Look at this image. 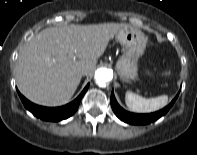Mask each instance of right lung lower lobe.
<instances>
[{"label":"right lung lower lobe","mask_w":197,"mask_h":155,"mask_svg":"<svg viewBox=\"0 0 197 155\" xmlns=\"http://www.w3.org/2000/svg\"><path fill=\"white\" fill-rule=\"evenodd\" d=\"M89 84L84 88L81 94L71 103L61 106V107H43L36 105L29 100H27L24 96H22L19 92L20 99L27 110H29L34 116L45 120V121H61L63 119L69 118L72 116L79 107L80 101L87 91Z\"/></svg>","instance_id":"1"}]
</instances>
